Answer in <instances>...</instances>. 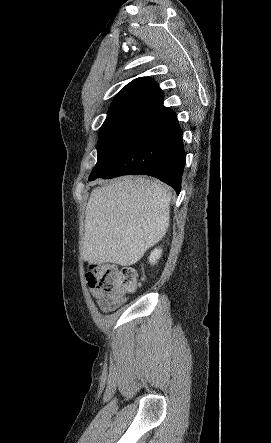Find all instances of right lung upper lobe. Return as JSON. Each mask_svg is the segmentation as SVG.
Wrapping results in <instances>:
<instances>
[{
	"mask_svg": "<svg viewBox=\"0 0 271 443\" xmlns=\"http://www.w3.org/2000/svg\"><path fill=\"white\" fill-rule=\"evenodd\" d=\"M143 102L152 105L163 103V94L158 84L149 77H141L127 84L114 98L112 104Z\"/></svg>",
	"mask_w": 271,
	"mask_h": 443,
	"instance_id": "obj_1",
	"label": "right lung upper lobe"
}]
</instances>
